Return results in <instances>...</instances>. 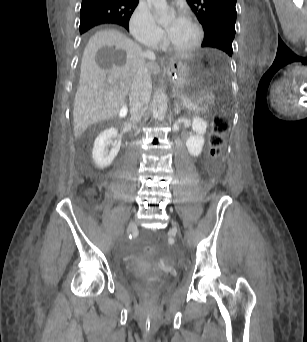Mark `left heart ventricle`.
<instances>
[{
    "label": "left heart ventricle",
    "mask_w": 307,
    "mask_h": 342,
    "mask_svg": "<svg viewBox=\"0 0 307 342\" xmlns=\"http://www.w3.org/2000/svg\"><path fill=\"white\" fill-rule=\"evenodd\" d=\"M195 39L193 28L186 22L182 25L178 34L167 42L169 48L173 50L184 49L188 47Z\"/></svg>",
    "instance_id": "obj_1"
}]
</instances>
